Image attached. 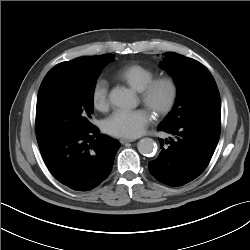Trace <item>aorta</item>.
I'll list each match as a JSON object with an SVG mask.
<instances>
[{
	"mask_svg": "<svg viewBox=\"0 0 250 250\" xmlns=\"http://www.w3.org/2000/svg\"><path fill=\"white\" fill-rule=\"evenodd\" d=\"M109 99L113 105L119 108H130L135 103L134 95L125 89L114 88L110 94ZM138 151L144 156H154L157 151V144L151 138H144L138 142Z\"/></svg>",
	"mask_w": 250,
	"mask_h": 250,
	"instance_id": "obj_1",
	"label": "aorta"
}]
</instances>
